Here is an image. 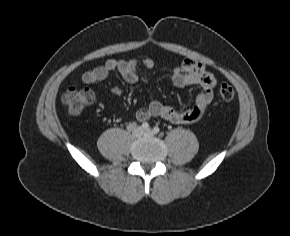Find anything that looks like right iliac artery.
Segmentation results:
<instances>
[{
    "label": "right iliac artery",
    "mask_w": 290,
    "mask_h": 236,
    "mask_svg": "<svg viewBox=\"0 0 290 236\" xmlns=\"http://www.w3.org/2000/svg\"><path fill=\"white\" fill-rule=\"evenodd\" d=\"M141 127H142V129L147 130V129H149V124L147 122H143Z\"/></svg>",
    "instance_id": "right-iliac-artery-1"
}]
</instances>
